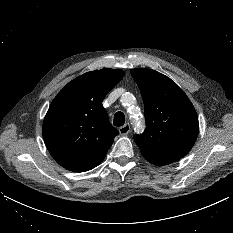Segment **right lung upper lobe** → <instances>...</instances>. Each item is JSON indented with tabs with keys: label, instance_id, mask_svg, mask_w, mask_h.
I'll use <instances>...</instances> for the list:
<instances>
[{
	"label": "right lung upper lobe",
	"instance_id": "right-lung-upper-lobe-1",
	"mask_svg": "<svg viewBox=\"0 0 233 233\" xmlns=\"http://www.w3.org/2000/svg\"><path fill=\"white\" fill-rule=\"evenodd\" d=\"M123 76L119 69L90 71L72 80L54 98L42 134L59 165L84 172L105 158L119 132L109 122L102 101Z\"/></svg>",
	"mask_w": 233,
	"mask_h": 233
}]
</instances>
